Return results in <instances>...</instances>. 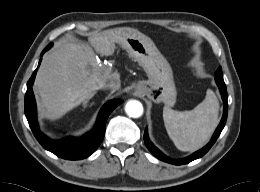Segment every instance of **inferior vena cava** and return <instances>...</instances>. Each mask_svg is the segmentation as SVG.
<instances>
[{"mask_svg":"<svg viewBox=\"0 0 260 192\" xmlns=\"http://www.w3.org/2000/svg\"><path fill=\"white\" fill-rule=\"evenodd\" d=\"M120 79H111L110 81L104 82L100 85L101 89H109L112 91H116L120 88Z\"/></svg>","mask_w":260,"mask_h":192,"instance_id":"1","label":"inferior vena cava"}]
</instances>
